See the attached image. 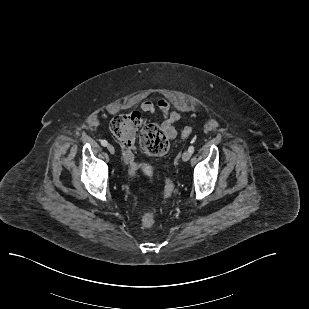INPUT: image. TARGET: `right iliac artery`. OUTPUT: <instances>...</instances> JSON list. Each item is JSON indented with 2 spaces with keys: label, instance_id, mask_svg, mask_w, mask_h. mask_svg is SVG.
<instances>
[{
  "label": "right iliac artery",
  "instance_id": "1",
  "mask_svg": "<svg viewBox=\"0 0 309 309\" xmlns=\"http://www.w3.org/2000/svg\"><path fill=\"white\" fill-rule=\"evenodd\" d=\"M101 144H102V146H107L108 142L106 140H101Z\"/></svg>",
  "mask_w": 309,
  "mask_h": 309
}]
</instances>
